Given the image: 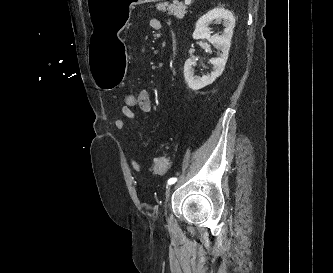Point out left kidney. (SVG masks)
<instances>
[{"instance_id": "obj_1", "label": "left kidney", "mask_w": 333, "mask_h": 273, "mask_svg": "<svg viewBox=\"0 0 333 273\" xmlns=\"http://www.w3.org/2000/svg\"><path fill=\"white\" fill-rule=\"evenodd\" d=\"M221 22H223L225 27L222 35L211 36V29L208 26L212 23ZM234 27L235 18L232 12L221 7L215 8L199 18L192 35L193 39L206 38L211 44L217 47L221 53L218 58L211 60L213 72L208 75H203L202 77L194 74L193 60L191 58L186 60L184 64V77L190 89L199 90L213 83L215 79L222 74L228 59ZM194 51V49H190L189 53L192 54Z\"/></svg>"}]
</instances>
